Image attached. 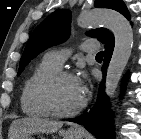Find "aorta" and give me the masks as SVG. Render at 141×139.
I'll list each match as a JSON object with an SVG mask.
<instances>
[{"label":"aorta","mask_w":141,"mask_h":139,"mask_svg":"<svg viewBox=\"0 0 141 139\" xmlns=\"http://www.w3.org/2000/svg\"><path fill=\"white\" fill-rule=\"evenodd\" d=\"M82 28L95 27L100 24L112 31L115 39L113 54L107 69L105 93L112 100L123 71L131 56L133 31L128 20L118 12L95 10L82 14L77 19Z\"/></svg>","instance_id":"aorta-1"}]
</instances>
